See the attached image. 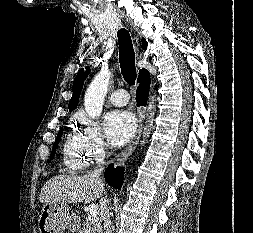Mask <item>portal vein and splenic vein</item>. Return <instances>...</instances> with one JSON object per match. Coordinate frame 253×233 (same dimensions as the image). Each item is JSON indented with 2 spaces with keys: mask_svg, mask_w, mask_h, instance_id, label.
<instances>
[{
  "mask_svg": "<svg viewBox=\"0 0 253 233\" xmlns=\"http://www.w3.org/2000/svg\"><path fill=\"white\" fill-rule=\"evenodd\" d=\"M97 214H98V207L96 205H94V204L90 205L89 206V215L92 218H96Z\"/></svg>",
  "mask_w": 253,
  "mask_h": 233,
  "instance_id": "portal-vein-and-splenic-vein-1",
  "label": "portal vein and splenic vein"
}]
</instances>
